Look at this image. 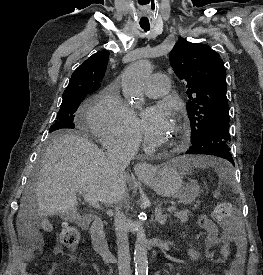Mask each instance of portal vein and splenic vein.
Instances as JSON below:
<instances>
[{
  "mask_svg": "<svg viewBox=\"0 0 263 275\" xmlns=\"http://www.w3.org/2000/svg\"><path fill=\"white\" fill-rule=\"evenodd\" d=\"M78 192H79V194H83L84 199L88 202V204H90L91 206H93L96 209H101V206L96 198H94L93 196H91L89 194L84 193L83 191H78ZM176 210H177V208L175 206H170L167 208L168 212H174Z\"/></svg>",
  "mask_w": 263,
  "mask_h": 275,
  "instance_id": "obj_1",
  "label": "portal vein and splenic vein"
}]
</instances>
